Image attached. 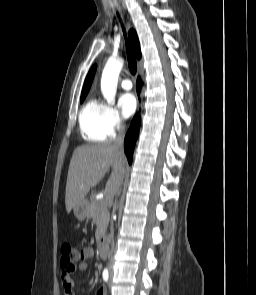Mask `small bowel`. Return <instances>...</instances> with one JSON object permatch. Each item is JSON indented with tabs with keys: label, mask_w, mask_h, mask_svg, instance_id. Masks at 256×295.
<instances>
[{
	"label": "small bowel",
	"mask_w": 256,
	"mask_h": 295,
	"mask_svg": "<svg viewBox=\"0 0 256 295\" xmlns=\"http://www.w3.org/2000/svg\"><path fill=\"white\" fill-rule=\"evenodd\" d=\"M94 249L92 247H85L79 254V263L74 270L82 271L87 268V263L90 259L94 257ZM67 269H64L61 272V281L64 287V295H74L73 293V280L71 277L72 272ZM107 290L104 286H99L96 290V295H106Z\"/></svg>",
	"instance_id": "1"
}]
</instances>
